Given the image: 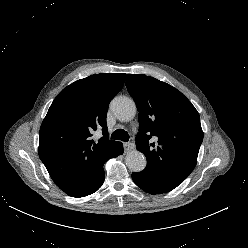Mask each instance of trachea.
Returning <instances> with one entry per match:
<instances>
[{
    "mask_svg": "<svg viewBox=\"0 0 248 248\" xmlns=\"http://www.w3.org/2000/svg\"><path fill=\"white\" fill-rule=\"evenodd\" d=\"M111 139L127 142L129 140V135L128 132H126L125 130L117 129L112 133Z\"/></svg>",
    "mask_w": 248,
    "mask_h": 248,
    "instance_id": "3493384b",
    "label": "trachea"
}]
</instances>
